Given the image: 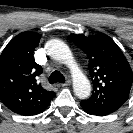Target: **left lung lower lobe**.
<instances>
[{
	"instance_id": "obj_1",
	"label": "left lung lower lobe",
	"mask_w": 133,
	"mask_h": 133,
	"mask_svg": "<svg viewBox=\"0 0 133 133\" xmlns=\"http://www.w3.org/2000/svg\"><path fill=\"white\" fill-rule=\"evenodd\" d=\"M80 105H81L82 109L90 115L106 116V115L113 113V112H110L107 110L95 108L93 106H90L89 104H86L83 101H81Z\"/></svg>"
}]
</instances>
